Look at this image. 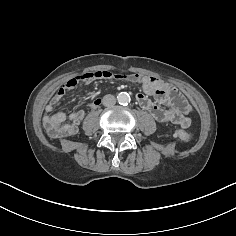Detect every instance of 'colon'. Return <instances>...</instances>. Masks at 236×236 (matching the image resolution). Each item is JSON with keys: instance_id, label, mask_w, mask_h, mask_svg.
<instances>
[{"instance_id": "obj_1", "label": "colon", "mask_w": 236, "mask_h": 236, "mask_svg": "<svg viewBox=\"0 0 236 236\" xmlns=\"http://www.w3.org/2000/svg\"><path fill=\"white\" fill-rule=\"evenodd\" d=\"M97 76L103 77V78H110L112 77V73L109 71H101L97 73ZM128 79H133L132 74L126 75ZM178 136L182 141L188 142L192 139V135L185 131H178Z\"/></svg>"}]
</instances>
